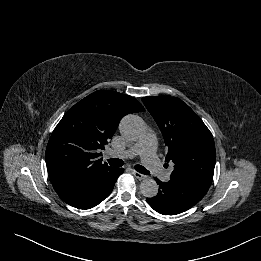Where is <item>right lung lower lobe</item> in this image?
I'll return each instance as SVG.
<instances>
[{
	"label": "right lung lower lobe",
	"instance_id": "obj_1",
	"mask_svg": "<svg viewBox=\"0 0 261 261\" xmlns=\"http://www.w3.org/2000/svg\"><path fill=\"white\" fill-rule=\"evenodd\" d=\"M123 168H111L94 179L74 188L58 193L67 204L78 209H90L106 199L115 185Z\"/></svg>",
	"mask_w": 261,
	"mask_h": 261
}]
</instances>
